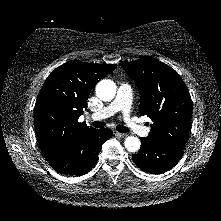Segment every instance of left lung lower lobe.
<instances>
[{"label":"left lung lower lobe","instance_id":"1","mask_svg":"<svg viewBox=\"0 0 221 221\" xmlns=\"http://www.w3.org/2000/svg\"><path fill=\"white\" fill-rule=\"evenodd\" d=\"M140 151L132 156L134 163L151 174L164 173L173 168L183 156V149L156 144L141 137Z\"/></svg>","mask_w":221,"mask_h":221}]
</instances>
